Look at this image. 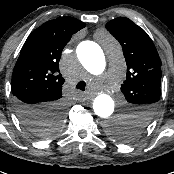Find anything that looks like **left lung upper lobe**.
Returning a JSON list of instances; mask_svg holds the SVG:
<instances>
[{"label": "left lung upper lobe", "instance_id": "left-lung-upper-lobe-1", "mask_svg": "<svg viewBox=\"0 0 174 174\" xmlns=\"http://www.w3.org/2000/svg\"><path fill=\"white\" fill-rule=\"evenodd\" d=\"M106 29L122 46L127 77L121 91L132 108L134 128L141 129L153 117L160 100V57L147 33L128 18L109 21ZM118 138L126 140L127 135L121 133Z\"/></svg>", "mask_w": 174, "mask_h": 174}]
</instances>
